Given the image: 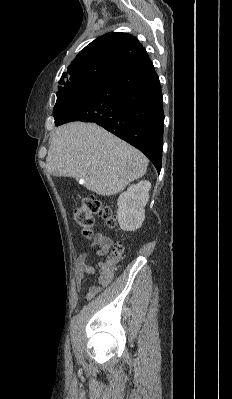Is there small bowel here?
Masks as SVG:
<instances>
[{
    "label": "small bowel",
    "mask_w": 232,
    "mask_h": 399,
    "mask_svg": "<svg viewBox=\"0 0 232 399\" xmlns=\"http://www.w3.org/2000/svg\"><path fill=\"white\" fill-rule=\"evenodd\" d=\"M97 248L95 250V254L98 256L104 255L106 251L109 249V243H100L96 245ZM89 258V254L86 252L81 253L78 256L77 264L74 269V284L76 288H80L83 279L85 276L93 274V267L87 263ZM87 297H91L93 295V287L89 286L86 290Z\"/></svg>",
    "instance_id": "1"
}]
</instances>
